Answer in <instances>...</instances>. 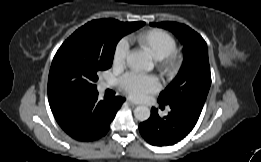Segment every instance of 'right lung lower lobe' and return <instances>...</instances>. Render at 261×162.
<instances>
[{"mask_svg": "<svg viewBox=\"0 0 261 162\" xmlns=\"http://www.w3.org/2000/svg\"><path fill=\"white\" fill-rule=\"evenodd\" d=\"M122 97L98 100V92L70 101L53 112L60 127L73 139L88 142L106 135L110 123L121 107Z\"/></svg>", "mask_w": 261, "mask_h": 162, "instance_id": "right-lung-lower-lobe-1", "label": "right lung lower lobe"}]
</instances>
